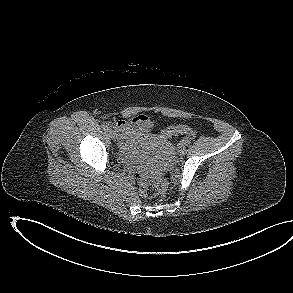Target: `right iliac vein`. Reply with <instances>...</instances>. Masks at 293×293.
Masks as SVG:
<instances>
[{"label": "right iliac vein", "instance_id": "obj_1", "mask_svg": "<svg viewBox=\"0 0 293 293\" xmlns=\"http://www.w3.org/2000/svg\"><path fill=\"white\" fill-rule=\"evenodd\" d=\"M108 134L112 140H116V132L113 129H109Z\"/></svg>", "mask_w": 293, "mask_h": 293}]
</instances>
